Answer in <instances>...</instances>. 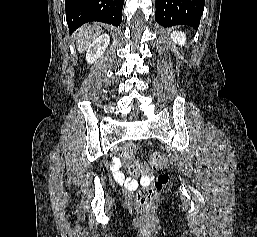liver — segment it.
Returning a JSON list of instances; mask_svg holds the SVG:
<instances>
[{
  "label": "liver",
  "mask_w": 257,
  "mask_h": 237,
  "mask_svg": "<svg viewBox=\"0 0 257 237\" xmlns=\"http://www.w3.org/2000/svg\"><path fill=\"white\" fill-rule=\"evenodd\" d=\"M101 32L102 29L97 24L84 25L80 28L76 37L79 53H83Z\"/></svg>",
  "instance_id": "6515ba94"
}]
</instances>
